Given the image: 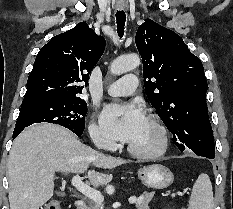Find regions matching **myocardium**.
<instances>
[{
    "label": "myocardium",
    "mask_w": 233,
    "mask_h": 209,
    "mask_svg": "<svg viewBox=\"0 0 233 209\" xmlns=\"http://www.w3.org/2000/svg\"><path fill=\"white\" fill-rule=\"evenodd\" d=\"M147 119L151 122L158 133L159 141L155 148L151 150H138L131 146H127V150L131 155L140 159H153L162 156L169 145L168 131L162 121L153 114L147 116Z\"/></svg>",
    "instance_id": "myocardium-1"
}]
</instances>
